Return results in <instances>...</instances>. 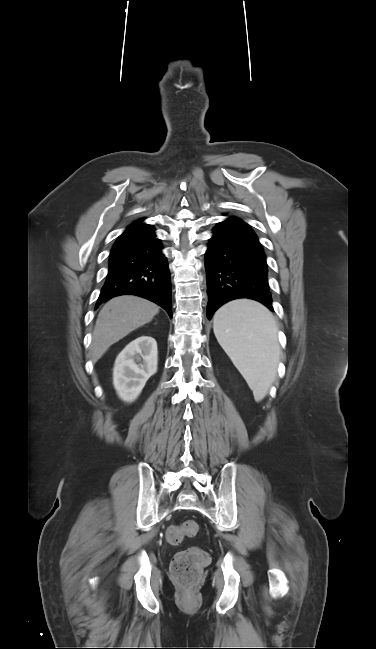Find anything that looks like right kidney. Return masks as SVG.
<instances>
[{
  "label": "right kidney",
  "mask_w": 376,
  "mask_h": 649,
  "mask_svg": "<svg viewBox=\"0 0 376 649\" xmlns=\"http://www.w3.org/2000/svg\"><path fill=\"white\" fill-rule=\"evenodd\" d=\"M156 340L142 335L130 342L117 356L113 370V384L119 397L134 401L147 380L157 372Z\"/></svg>",
  "instance_id": "1"
}]
</instances>
